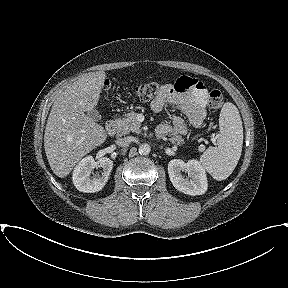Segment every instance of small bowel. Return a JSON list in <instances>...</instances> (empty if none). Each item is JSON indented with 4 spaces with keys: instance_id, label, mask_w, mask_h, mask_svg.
<instances>
[{
    "instance_id": "obj_1",
    "label": "small bowel",
    "mask_w": 288,
    "mask_h": 288,
    "mask_svg": "<svg viewBox=\"0 0 288 288\" xmlns=\"http://www.w3.org/2000/svg\"><path fill=\"white\" fill-rule=\"evenodd\" d=\"M164 86V90L151 102L152 110L160 112L168 106L185 114L193 127H201L206 117L208 102V92L204 84L195 78L182 76L174 84ZM187 132L186 122L177 115L173 116L172 125L162 124L157 130L159 136Z\"/></svg>"
}]
</instances>
